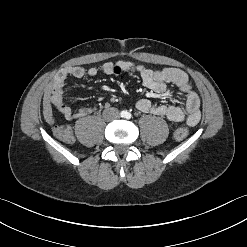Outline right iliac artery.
Wrapping results in <instances>:
<instances>
[{"instance_id": "82829eb1", "label": "right iliac artery", "mask_w": 247, "mask_h": 247, "mask_svg": "<svg viewBox=\"0 0 247 247\" xmlns=\"http://www.w3.org/2000/svg\"><path fill=\"white\" fill-rule=\"evenodd\" d=\"M126 113L124 111L121 112V116L124 117Z\"/></svg>"}]
</instances>
